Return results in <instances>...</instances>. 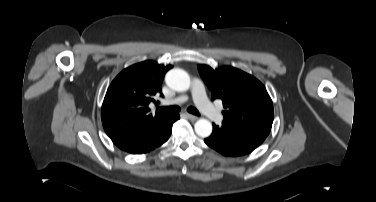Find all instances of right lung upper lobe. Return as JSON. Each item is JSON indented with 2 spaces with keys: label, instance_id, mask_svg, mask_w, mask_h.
I'll return each instance as SVG.
<instances>
[{
  "label": "right lung upper lobe",
  "instance_id": "cb5924a9",
  "mask_svg": "<svg viewBox=\"0 0 376 202\" xmlns=\"http://www.w3.org/2000/svg\"><path fill=\"white\" fill-rule=\"evenodd\" d=\"M171 65L144 61L124 69L111 83L105 95L101 118L105 132L114 144L129 139L156 121L168 116L156 110L149 113L148 105L161 94V84Z\"/></svg>",
  "mask_w": 376,
  "mask_h": 202
}]
</instances>
